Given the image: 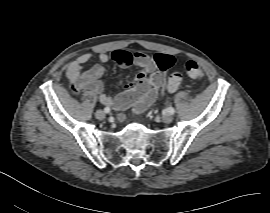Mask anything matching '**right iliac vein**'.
I'll use <instances>...</instances> for the list:
<instances>
[{
    "mask_svg": "<svg viewBox=\"0 0 270 213\" xmlns=\"http://www.w3.org/2000/svg\"><path fill=\"white\" fill-rule=\"evenodd\" d=\"M95 116L99 119V120H102L105 118V113L102 111V110H97L95 112Z\"/></svg>",
    "mask_w": 270,
    "mask_h": 213,
    "instance_id": "1",
    "label": "right iliac vein"
}]
</instances>
